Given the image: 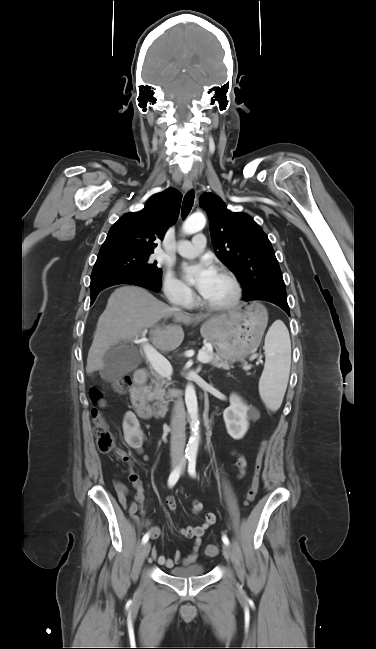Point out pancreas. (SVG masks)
<instances>
[{
    "mask_svg": "<svg viewBox=\"0 0 376 649\" xmlns=\"http://www.w3.org/2000/svg\"><path fill=\"white\" fill-rule=\"evenodd\" d=\"M201 352H205L211 356L210 364L217 368H223L225 370H229L230 368H233V366L228 362L227 359L221 357L219 354H216L213 356L212 354L209 353L207 348H204L201 350ZM246 365H243V368ZM152 368V367H151ZM151 375H152V385L148 387L147 390V400L150 402L155 401L154 405L155 406H160L161 408H164L163 404L166 403L164 400V396L166 394L165 389L170 385V382L166 380V378L153 369H151Z\"/></svg>",
    "mask_w": 376,
    "mask_h": 649,
    "instance_id": "cf45deb5",
    "label": "pancreas"
}]
</instances>
